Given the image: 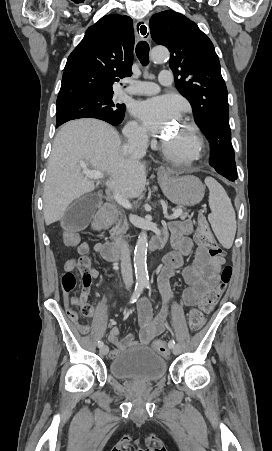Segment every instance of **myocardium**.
Listing matches in <instances>:
<instances>
[{
  "instance_id": "myocardium-1",
  "label": "myocardium",
  "mask_w": 272,
  "mask_h": 451,
  "mask_svg": "<svg viewBox=\"0 0 272 451\" xmlns=\"http://www.w3.org/2000/svg\"><path fill=\"white\" fill-rule=\"evenodd\" d=\"M183 126L189 131V141L183 146L169 147L165 143V149L171 152L176 160H196L200 157L202 141L198 129L191 123L184 121Z\"/></svg>"
}]
</instances>
